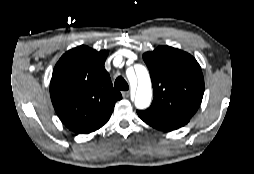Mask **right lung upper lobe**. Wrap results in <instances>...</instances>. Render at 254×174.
Listing matches in <instances>:
<instances>
[{
    "label": "right lung upper lobe",
    "mask_w": 254,
    "mask_h": 174,
    "mask_svg": "<svg viewBox=\"0 0 254 174\" xmlns=\"http://www.w3.org/2000/svg\"><path fill=\"white\" fill-rule=\"evenodd\" d=\"M108 51L78 46L57 62L50 96L61 121L71 131L87 133L109 120L115 102L122 99L113 88L104 63Z\"/></svg>",
    "instance_id": "1"
}]
</instances>
